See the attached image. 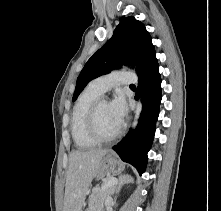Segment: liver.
I'll return each mask as SVG.
<instances>
[{"label": "liver", "instance_id": "obj_1", "mask_svg": "<svg viewBox=\"0 0 221 211\" xmlns=\"http://www.w3.org/2000/svg\"><path fill=\"white\" fill-rule=\"evenodd\" d=\"M105 149L73 151L69 156L63 211H82L85 196L93 178L98 174Z\"/></svg>", "mask_w": 221, "mask_h": 211}]
</instances>
